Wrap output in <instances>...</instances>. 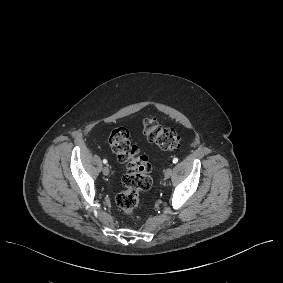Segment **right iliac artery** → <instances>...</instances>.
<instances>
[{
	"instance_id": "obj_1",
	"label": "right iliac artery",
	"mask_w": 283,
	"mask_h": 283,
	"mask_svg": "<svg viewBox=\"0 0 283 283\" xmlns=\"http://www.w3.org/2000/svg\"><path fill=\"white\" fill-rule=\"evenodd\" d=\"M103 163H104V164H106V163H107V160H106V159H104V160H103Z\"/></svg>"
}]
</instances>
